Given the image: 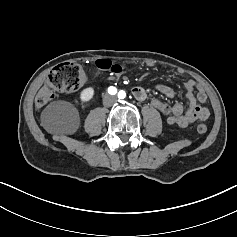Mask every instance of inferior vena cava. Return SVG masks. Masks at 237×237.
I'll return each instance as SVG.
<instances>
[{"instance_id":"1","label":"inferior vena cava","mask_w":237,"mask_h":237,"mask_svg":"<svg viewBox=\"0 0 237 237\" xmlns=\"http://www.w3.org/2000/svg\"><path fill=\"white\" fill-rule=\"evenodd\" d=\"M104 100L105 101L103 102V104L106 107H110L116 102V98L114 96H110V95L105 96Z\"/></svg>"}]
</instances>
